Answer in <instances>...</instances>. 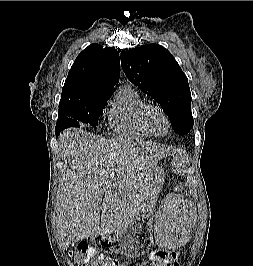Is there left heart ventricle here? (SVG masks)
I'll use <instances>...</instances> for the list:
<instances>
[{
  "label": "left heart ventricle",
  "instance_id": "1",
  "mask_svg": "<svg viewBox=\"0 0 253 266\" xmlns=\"http://www.w3.org/2000/svg\"><path fill=\"white\" fill-rule=\"evenodd\" d=\"M149 123L157 135H163L167 131V122L159 111H152L149 115Z\"/></svg>",
  "mask_w": 253,
  "mask_h": 266
}]
</instances>
